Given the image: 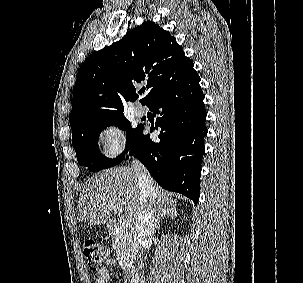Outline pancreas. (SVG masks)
Returning <instances> with one entry per match:
<instances>
[{
  "instance_id": "1",
  "label": "pancreas",
  "mask_w": 303,
  "mask_h": 283,
  "mask_svg": "<svg viewBox=\"0 0 303 283\" xmlns=\"http://www.w3.org/2000/svg\"><path fill=\"white\" fill-rule=\"evenodd\" d=\"M113 247L117 253V259L124 270H129L135 259L136 246L132 235L122 228L113 237Z\"/></svg>"
}]
</instances>
